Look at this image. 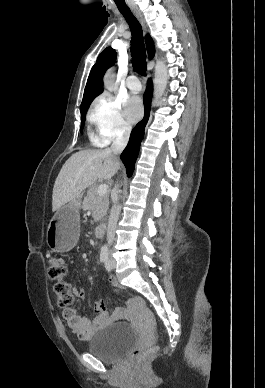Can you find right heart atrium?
Wrapping results in <instances>:
<instances>
[{
  "mask_svg": "<svg viewBox=\"0 0 265 388\" xmlns=\"http://www.w3.org/2000/svg\"><path fill=\"white\" fill-rule=\"evenodd\" d=\"M91 118L103 141L127 135L131 128L124 118L121 102L109 94H103L94 101Z\"/></svg>",
  "mask_w": 265,
  "mask_h": 388,
  "instance_id": "d8ad5b80",
  "label": "right heart atrium"
}]
</instances>
